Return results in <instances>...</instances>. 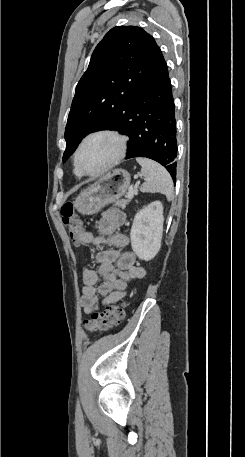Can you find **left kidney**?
Returning <instances> with one entry per match:
<instances>
[{"label": "left kidney", "instance_id": "1", "mask_svg": "<svg viewBox=\"0 0 245 457\" xmlns=\"http://www.w3.org/2000/svg\"><path fill=\"white\" fill-rule=\"evenodd\" d=\"M163 222V204L160 200H154L136 212L130 239L134 253L142 261H151L160 251Z\"/></svg>", "mask_w": 245, "mask_h": 457}]
</instances>
